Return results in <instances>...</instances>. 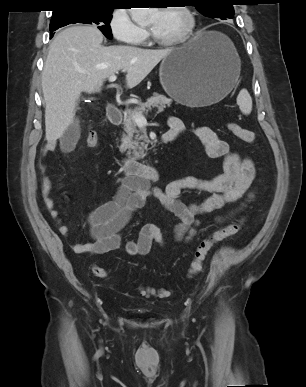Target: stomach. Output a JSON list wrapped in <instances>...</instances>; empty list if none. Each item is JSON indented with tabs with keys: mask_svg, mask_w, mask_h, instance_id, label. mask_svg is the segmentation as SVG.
<instances>
[{
	"mask_svg": "<svg viewBox=\"0 0 306 387\" xmlns=\"http://www.w3.org/2000/svg\"><path fill=\"white\" fill-rule=\"evenodd\" d=\"M240 75V59L230 39L216 31H199L161 62L160 82L175 101L208 106L226 97Z\"/></svg>",
	"mask_w": 306,
	"mask_h": 387,
	"instance_id": "0dacf381",
	"label": "stomach"
}]
</instances>
